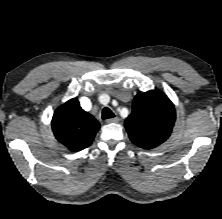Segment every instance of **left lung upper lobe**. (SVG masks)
Returning a JSON list of instances; mask_svg holds the SVG:
<instances>
[{
  "instance_id": "obj_1",
  "label": "left lung upper lobe",
  "mask_w": 222,
  "mask_h": 219,
  "mask_svg": "<svg viewBox=\"0 0 222 219\" xmlns=\"http://www.w3.org/2000/svg\"><path fill=\"white\" fill-rule=\"evenodd\" d=\"M174 122L173 103L161 91L151 90L135 96L125 127L134 144L152 149L170 136Z\"/></svg>"
}]
</instances>
